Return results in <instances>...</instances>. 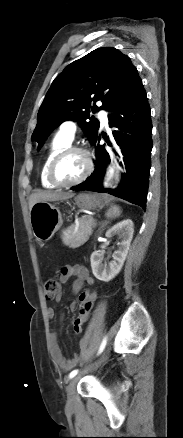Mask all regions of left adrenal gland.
Instances as JSON below:
<instances>
[{"label":"left adrenal gland","mask_w":183,"mask_h":438,"mask_svg":"<svg viewBox=\"0 0 183 438\" xmlns=\"http://www.w3.org/2000/svg\"><path fill=\"white\" fill-rule=\"evenodd\" d=\"M105 224H106V222H99L100 227L98 230H101L105 226Z\"/></svg>","instance_id":"left-adrenal-gland-1"}]
</instances>
